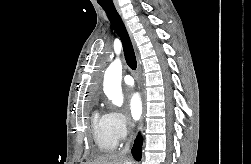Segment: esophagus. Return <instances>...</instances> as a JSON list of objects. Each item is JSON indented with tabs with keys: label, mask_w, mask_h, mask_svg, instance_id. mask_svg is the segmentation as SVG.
I'll return each mask as SVG.
<instances>
[{
	"label": "esophagus",
	"mask_w": 251,
	"mask_h": 164,
	"mask_svg": "<svg viewBox=\"0 0 251 164\" xmlns=\"http://www.w3.org/2000/svg\"><path fill=\"white\" fill-rule=\"evenodd\" d=\"M114 4H115V8H116L118 14L122 18V20L125 22V20L123 19V16H122L121 9H120V7H119L116 0H114ZM129 34H130V37L132 39V35H131L130 32H129ZM132 41H133V39H132ZM133 43H134V41H133ZM137 75H138V78H139V84H140V88H141V99H142V106H143V113H142L141 120H140V125H139V128L142 129L143 122H144V114H145V96H144V93H143V90H142V82H141V78H140V75H141V63H140L139 60H138V64H137Z\"/></svg>",
	"instance_id": "esophagus-1"
}]
</instances>
